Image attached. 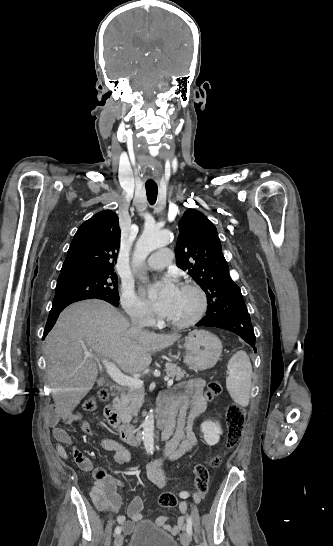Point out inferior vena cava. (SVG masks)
<instances>
[{"label": "inferior vena cava", "instance_id": "inferior-vena-cava-1", "mask_svg": "<svg viewBox=\"0 0 333 546\" xmlns=\"http://www.w3.org/2000/svg\"><path fill=\"white\" fill-rule=\"evenodd\" d=\"M131 322H132L131 329L133 332H140L145 326V322L143 321V319L136 313L131 314Z\"/></svg>", "mask_w": 333, "mask_h": 546}]
</instances>
